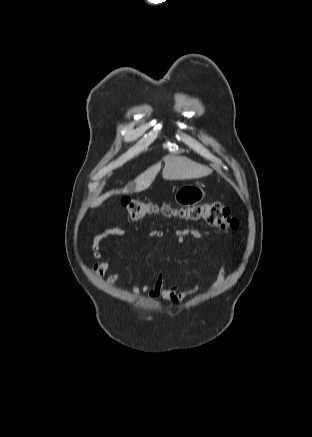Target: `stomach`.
Wrapping results in <instances>:
<instances>
[{
  "label": "stomach",
  "mask_w": 312,
  "mask_h": 437,
  "mask_svg": "<svg viewBox=\"0 0 312 437\" xmlns=\"http://www.w3.org/2000/svg\"><path fill=\"white\" fill-rule=\"evenodd\" d=\"M205 197L204 190L196 184H185L180 186L175 193V202L181 206L195 205Z\"/></svg>",
  "instance_id": "1"
}]
</instances>
